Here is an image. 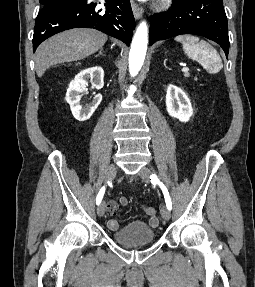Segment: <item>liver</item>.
I'll return each instance as SVG.
<instances>
[{
  "instance_id": "obj_1",
  "label": "liver",
  "mask_w": 255,
  "mask_h": 287,
  "mask_svg": "<svg viewBox=\"0 0 255 287\" xmlns=\"http://www.w3.org/2000/svg\"><path fill=\"white\" fill-rule=\"evenodd\" d=\"M107 36L97 30L75 28L52 36L36 50L35 70L38 78H42L46 70L54 64L76 62L101 50Z\"/></svg>"
}]
</instances>
